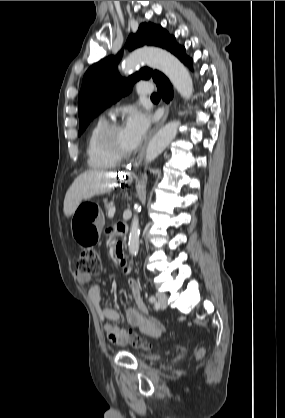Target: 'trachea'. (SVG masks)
Instances as JSON below:
<instances>
[{
	"instance_id": "3493384b",
	"label": "trachea",
	"mask_w": 285,
	"mask_h": 418,
	"mask_svg": "<svg viewBox=\"0 0 285 418\" xmlns=\"http://www.w3.org/2000/svg\"><path fill=\"white\" fill-rule=\"evenodd\" d=\"M151 98H160V97H159V95H158V94L153 93V94L151 95Z\"/></svg>"
}]
</instances>
